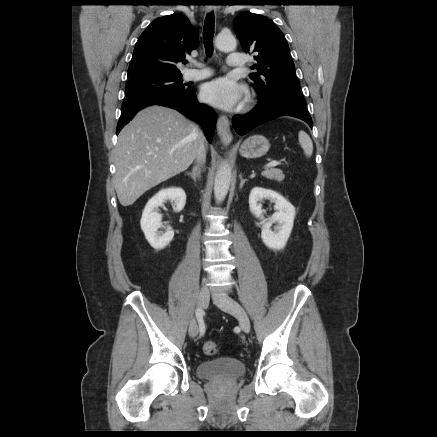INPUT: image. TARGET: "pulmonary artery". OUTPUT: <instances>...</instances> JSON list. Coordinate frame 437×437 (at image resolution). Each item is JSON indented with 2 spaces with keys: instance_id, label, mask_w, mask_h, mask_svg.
Returning <instances> with one entry per match:
<instances>
[{
  "instance_id": "1",
  "label": "pulmonary artery",
  "mask_w": 437,
  "mask_h": 437,
  "mask_svg": "<svg viewBox=\"0 0 437 437\" xmlns=\"http://www.w3.org/2000/svg\"><path fill=\"white\" fill-rule=\"evenodd\" d=\"M244 59L239 53H230L227 58V65L231 68H239L243 66ZM200 69H191L185 73V79L188 81H197L209 77L212 72L210 69L201 64H197Z\"/></svg>"
}]
</instances>
